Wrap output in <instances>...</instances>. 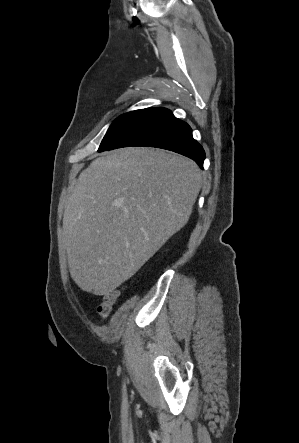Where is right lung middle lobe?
<instances>
[{"label":"right lung middle lobe","instance_id":"1","mask_svg":"<svg viewBox=\"0 0 299 443\" xmlns=\"http://www.w3.org/2000/svg\"><path fill=\"white\" fill-rule=\"evenodd\" d=\"M144 109L131 111L117 118L109 127L104 136L98 152L109 147L117 138L132 124V122L141 114Z\"/></svg>","mask_w":299,"mask_h":443}]
</instances>
